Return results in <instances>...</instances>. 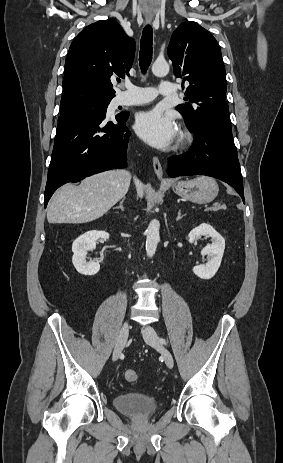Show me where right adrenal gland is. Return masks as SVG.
Listing matches in <instances>:
<instances>
[{"label":"right adrenal gland","mask_w":283,"mask_h":463,"mask_svg":"<svg viewBox=\"0 0 283 463\" xmlns=\"http://www.w3.org/2000/svg\"><path fill=\"white\" fill-rule=\"evenodd\" d=\"M125 200H126V197H123V199L119 203V206L114 207V209H121L122 211H124L123 203Z\"/></svg>","instance_id":"obj_1"}]
</instances>
